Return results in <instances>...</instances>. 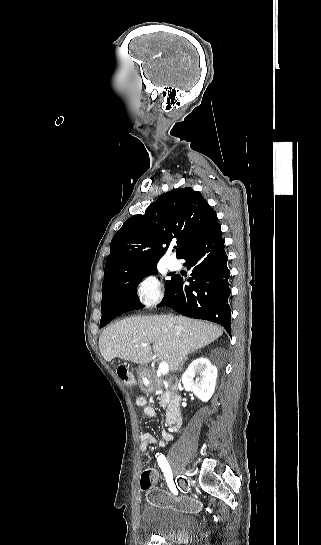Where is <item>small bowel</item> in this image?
<instances>
[{
	"label": "small bowel",
	"instance_id": "1",
	"mask_svg": "<svg viewBox=\"0 0 321 545\" xmlns=\"http://www.w3.org/2000/svg\"><path fill=\"white\" fill-rule=\"evenodd\" d=\"M136 405L140 408H143L144 414L148 417H154L156 411L153 407L149 406L145 396H138L136 398ZM163 440L158 441L157 438L150 432H141L140 434V451L142 453L146 452L147 448L155 443H158L161 447L165 446L167 441L172 439V434L168 431H163L162 433ZM153 478V481L156 482L158 479V472L155 469H149Z\"/></svg>",
	"mask_w": 321,
	"mask_h": 545
}]
</instances>
